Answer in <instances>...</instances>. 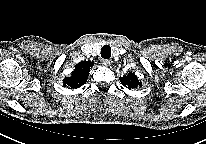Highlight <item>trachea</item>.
Here are the masks:
<instances>
[{"label": "trachea", "instance_id": "trachea-1", "mask_svg": "<svg viewBox=\"0 0 206 144\" xmlns=\"http://www.w3.org/2000/svg\"><path fill=\"white\" fill-rule=\"evenodd\" d=\"M101 56L105 59H109L111 57V48L109 45H104L102 47Z\"/></svg>", "mask_w": 206, "mask_h": 144}]
</instances>
